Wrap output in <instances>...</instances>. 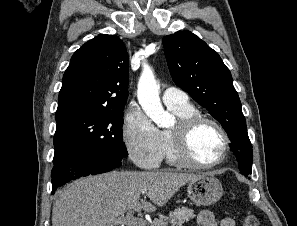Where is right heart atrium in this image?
Masks as SVG:
<instances>
[{"label":"right heart atrium","instance_id":"1","mask_svg":"<svg viewBox=\"0 0 297 226\" xmlns=\"http://www.w3.org/2000/svg\"><path fill=\"white\" fill-rule=\"evenodd\" d=\"M122 138L129 157L138 167H158L164 157L161 132L137 104L126 112Z\"/></svg>","mask_w":297,"mask_h":226}]
</instances>
